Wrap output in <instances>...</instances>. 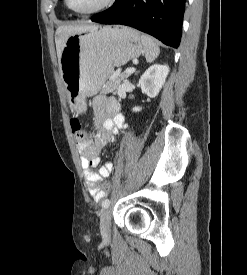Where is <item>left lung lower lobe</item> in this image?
I'll return each instance as SVG.
<instances>
[{
  "label": "left lung lower lobe",
  "mask_w": 247,
  "mask_h": 275,
  "mask_svg": "<svg viewBox=\"0 0 247 275\" xmlns=\"http://www.w3.org/2000/svg\"><path fill=\"white\" fill-rule=\"evenodd\" d=\"M184 10L185 0H116L108 10L96 14L92 21L131 26L177 48Z\"/></svg>",
  "instance_id": "1"
}]
</instances>
